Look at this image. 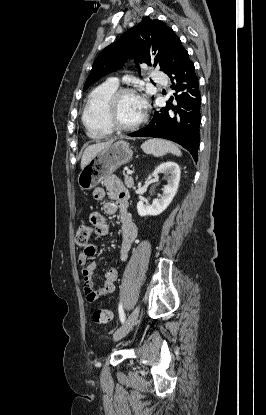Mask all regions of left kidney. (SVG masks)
<instances>
[{
	"label": "left kidney",
	"mask_w": 266,
	"mask_h": 415,
	"mask_svg": "<svg viewBox=\"0 0 266 415\" xmlns=\"http://www.w3.org/2000/svg\"><path fill=\"white\" fill-rule=\"evenodd\" d=\"M160 173L167 176V184L162 189L163 194L161 198L154 199L151 205L145 204L143 201L137 203V212L142 217L161 214L170 205L176 195L181 174L178 164L168 161L159 165L152 173L155 180H158Z\"/></svg>",
	"instance_id": "1"
}]
</instances>
